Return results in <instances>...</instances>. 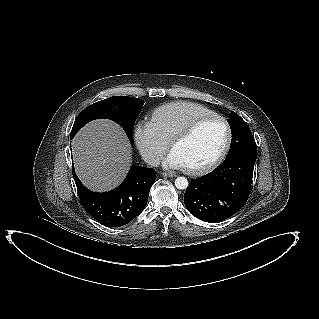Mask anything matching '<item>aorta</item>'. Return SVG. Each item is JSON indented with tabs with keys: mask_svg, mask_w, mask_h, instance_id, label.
Wrapping results in <instances>:
<instances>
[{
	"mask_svg": "<svg viewBox=\"0 0 319 319\" xmlns=\"http://www.w3.org/2000/svg\"><path fill=\"white\" fill-rule=\"evenodd\" d=\"M175 186L180 190L186 189L188 187V180L185 177H177L175 179Z\"/></svg>",
	"mask_w": 319,
	"mask_h": 319,
	"instance_id": "aorta-1",
	"label": "aorta"
}]
</instances>
